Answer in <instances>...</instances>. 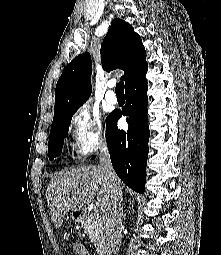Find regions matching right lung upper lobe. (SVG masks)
Wrapping results in <instances>:
<instances>
[{
	"label": "right lung upper lobe",
	"instance_id": "1",
	"mask_svg": "<svg viewBox=\"0 0 221 255\" xmlns=\"http://www.w3.org/2000/svg\"><path fill=\"white\" fill-rule=\"evenodd\" d=\"M101 62L105 71L124 70L121 77L128 84L147 64L141 37L122 19H114L101 45ZM91 55L86 52L73 59L64 69L55 89L54 119L76 111L91 94Z\"/></svg>",
	"mask_w": 221,
	"mask_h": 255
}]
</instances>
